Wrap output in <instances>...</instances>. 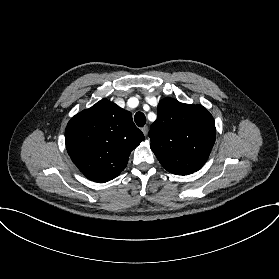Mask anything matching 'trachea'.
<instances>
[{"label": "trachea", "instance_id": "obj_1", "mask_svg": "<svg viewBox=\"0 0 279 279\" xmlns=\"http://www.w3.org/2000/svg\"><path fill=\"white\" fill-rule=\"evenodd\" d=\"M135 122L139 127H143L146 123V117L142 112H137L135 114Z\"/></svg>", "mask_w": 279, "mask_h": 279}]
</instances>
